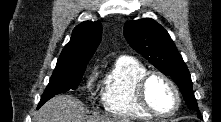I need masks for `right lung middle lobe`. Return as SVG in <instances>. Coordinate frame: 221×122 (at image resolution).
Listing matches in <instances>:
<instances>
[{
    "instance_id": "1",
    "label": "right lung middle lobe",
    "mask_w": 221,
    "mask_h": 122,
    "mask_svg": "<svg viewBox=\"0 0 221 122\" xmlns=\"http://www.w3.org/2000/svg\"><path fill=\"white\" fill-rule=\"evenodd\" d=\"M85 69L86 67L77 69L55 68L38 106H42L47 100L59 93L77 89Z\"/></svg>"
}]
</instances>
